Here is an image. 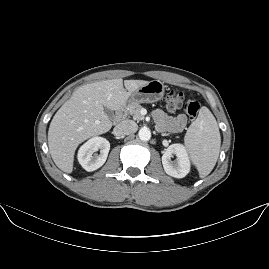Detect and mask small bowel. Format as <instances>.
Here are the masks:
<instances>
[{"label":"small bowel","instance_id":"c3829d8e","mask_svg":"<svg viewBox=\"0 0 269 269\" xmlns=\"http://www.w3.org/2000/svg\"><path fill=\"white\" fill-rule=\"evenodd\" d=\"M153 116L160 130L179 132L183 130L187 124V118L184 114L172 117L167 115L164 111L156 109L153 112Z\"/></svg>","mask_w":269,"mask_h":269}]
</instances>
